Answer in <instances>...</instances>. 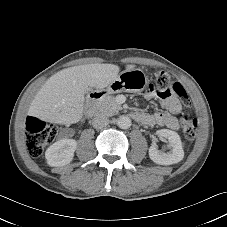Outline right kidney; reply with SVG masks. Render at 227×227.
I'll list each match as a JSON object with an SVG mask.
<instances>
[{
    "instance_id": "obj_1",
    "label": "right kidney",
    "mask_w": 227,
    "mask_h": 227,
    "mask_svg": "<svg viewBox=\"0 0 227 227\" xmlns=\"http://www.w3.org/2000/svg\"><path fill=\"white\" fill-rule=\"evenodd\" d=\"M76 147L77 142L74 139H61L55 142L45 152L48 165L59 167L70 163Z\"/></svg>"
}]
</instances>
